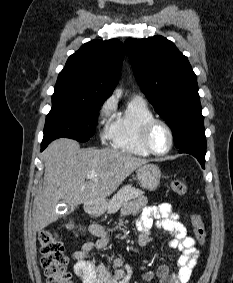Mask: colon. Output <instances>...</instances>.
I'll list each match as a JSON object with an SVG mask.
<instances>
[{"instance_id": "obj_1", "label": "colon", "mask_w": 233, "mask_h": 283, "mask_svg": "<svg viewBox=\"0 0 233 283\" xmlns=\"http://www.w3.org/2000/svg\"><path fill=\"white\" fill-rule=\"evenodd\" d=\"M172 190L183 195L186 192L184 180L174 179L171 182ZM192 227L199 246H203L206 240V231L200 215L193 214L191 217ZM68 228L73 224L68 223ZM41 265L45 271L47 283H74L71 274L67 271V257L64 246L51 230H43L39 233Z\"/></svg>"}]
</instances>
